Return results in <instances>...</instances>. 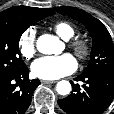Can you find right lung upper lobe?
Wrapping results in <instances>:
<instances>
[{
  "label": "right lung upper lobe",
  "mask_w": 114,
  "mask_h": 114,
  "mask_svg": "<svg viewBox=\"0 0 114 114\" xmlns=\"http://www.w3.org/2000/svg\"><path fill=\"white\" fill-rule=\"evenodd\" d=\"M53 14L55 12L51 8L15 6L0 12V21H26L34 24Z\"/></svg>",
  "instance_id": "right-lung-upper-lobe-1"
}]
</instances>
